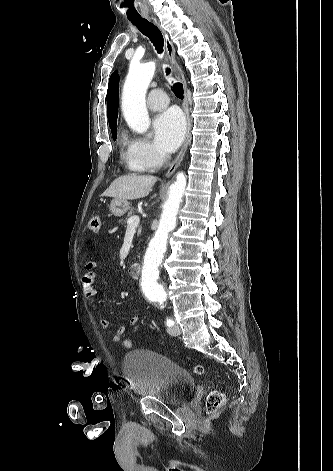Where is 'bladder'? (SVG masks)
<instances>
[{
	"instance_id": "1",
	"label": "bladder",
	"mask_w": 333,
	"mask_h": 471,
	"mask_svg": "<svg viewBox=\"0 0 333 471\" xmlns=\"http://www.w3.org/2000/svg\"><path fill=\"white\" fill-rule=\"evenodd\" d=\"M123 374L136 395L168 405L183 404L195 389V380L188 370L151 350H134L126 354Z\"/></svg>"
}]
</instances>
